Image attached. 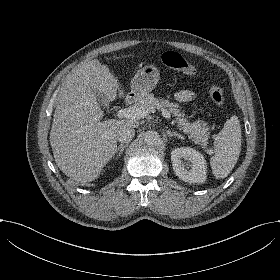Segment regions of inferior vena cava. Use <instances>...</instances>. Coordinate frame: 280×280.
I'll return each mask as SVG.
<instances>
[{"label":"inferior vena cava","instance_id":"602c4592","mask_svg":"<svg viewBox=\"0 0 280 280\" xmlns=\"http://www.w3.org/2000/svg\"><path fill=\"white\" fill-rule=\"evenodd\" d=\"M135 134V130L133 127L124 126L120 130L117 131V139L121 143H128L131 141Z\"/></svg>","mask_w":280,"mask_h":280}]
</instances>
